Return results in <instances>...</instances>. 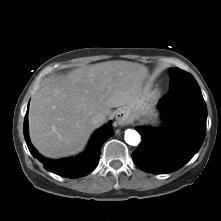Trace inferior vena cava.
<instances>
[{"label": "inferior vena cava", "instance_id": "1", "mask_svg": "<svg viewBox=\"0 0 221 221\" xmlns=\"http://www.w3.org/2000/svg\"><path fill=\"white\" fill-rule=\"evenodd\" d=\"M105 121H106V115H104L102 113H98L91 118V123L94 126H99V125L103 124Z\"/></svg>", "mask_w": 221, "mask_h": 221}]
</instances>
